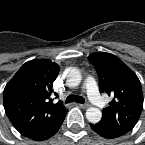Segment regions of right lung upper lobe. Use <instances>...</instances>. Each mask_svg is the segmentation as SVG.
<instances>
[{
	"label": "right lung upper lobe",
	"instance_id": "right-lung-upper-lobe-1",
	"mask_svg": "<svg viewBox=\"0 0 145 145\" xmlns=\"http://www.w3.org/2000/svg\"><path fill=\"white\" fill-rule=\"evenodd\" d=\"M59 66L47 59L26 62L7 83L3 92L5 112L24 136L41 131L63 114L61 101L53 103L52 84Z\"/></svg>",
	"mask_w": 145,
	"mask_h": 145
}]
</instances>
